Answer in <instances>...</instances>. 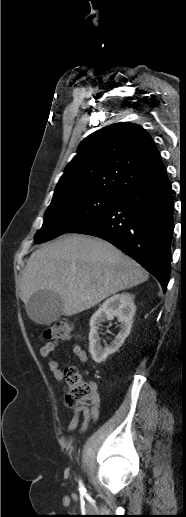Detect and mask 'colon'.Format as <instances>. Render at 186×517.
Instances as JSON below:
<instances>
[{
    "label": "colon",
    "mask_w": 186,
    "mask_h": 517,
    "mask_svg": "<svg viewBox=\"0 0 186 517\" xmlns=\"http://www.w3.org/2000/svg\"><path fill=\"white\" fill-rule=\"evenodd\" d=\"M73 333L72 324L66 320H61L45 328L42 337L45 340L68 339ZM64 376L67 384L65 400L68 406L75 407L93 403L95 398L93 382L84 380L75 367L68 368Z\"/></svg>",
    "instance_id": "5ec220e1"
}]
</instances>
